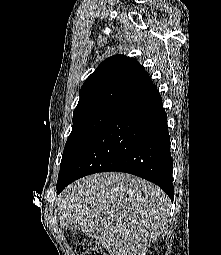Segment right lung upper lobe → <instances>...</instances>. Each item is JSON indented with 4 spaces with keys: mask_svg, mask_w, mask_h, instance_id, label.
<instances>
[{
    "mask_svg": "<svg viewBox=\"0 0 221 255\" xmlns=\"http://www.w3.org/2000/svg\"><path fill=\"white\" fill-rule=\"evenodd\" d=\"M151 85L147 72L135 59L109 57L84 82L74 114L102 106L119 107Z\"/></svg>",
    "mask_w": 221,
    "mask_h": 255,
    "instance_id": "1",
    "label": "right lung upper lobe"
}]
</instances>
